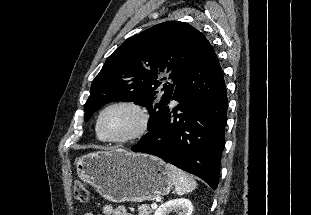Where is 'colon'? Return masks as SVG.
Masks as SVG:
<instances>
[{"label":"colon","mask_w":311,"mask_h":215,"mask_svg":"<svg viewBox=\"0 0 311 215\" xmlns=\"http://www.w3.org/2000/svg\"><path fill=\"white\" fill-rule=\"evenodd\" d=\"M74 197L78 202L84 203L88 200V190L82 183L74 186Z\"/></svg>","instance_id":"1"}]
</instances>
